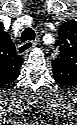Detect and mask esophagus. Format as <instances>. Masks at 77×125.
<instances>
[{"mask_svg":"<svg viewBox=\"0 0 77 125\" xmlns=\"http://www.w3.org/2000/svg\"><path fill=\"white\" fill-rule=\"evenodd\" d=\"M36 42L34 41H26L24 43H22L21 45L18 46V53L20 55H27L31 49L35 46Z\"/></svg>","mask_w":77,"mask_h":125,"instance_id":"34e87169","label":"esophagus"}]
</instances>
